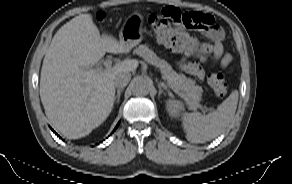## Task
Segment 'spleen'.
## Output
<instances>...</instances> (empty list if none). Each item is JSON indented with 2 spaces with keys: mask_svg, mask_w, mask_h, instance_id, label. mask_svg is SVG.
I'll return each mask as SVG.
<instances>
[{
  "mask_svg": "<svg viewBox=\"0 0 292 184\" xmlns=\"http://www.w3.org/2000/svg\"><path fill=\"white\" fill-rule=\"evenodd\" d=\"M238 96V91L234 90L216 110L207 115L199 112H184L181 121L186 139L192 143H204L217 137L233 118Z\"/></svg>",
  "mask_w": 292,
  "mask_h": 184,
  "instance_id": "3e777b00",
  "label": "spleen"
}]
</instances>
